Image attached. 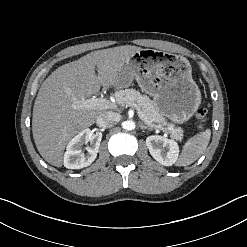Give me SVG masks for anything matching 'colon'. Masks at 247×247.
I'll use <instances>...</instances> for the list:
<instances>
[{"label":"colon","mask_w":247,"mask_h":247,"mask_svg":"<svg viewBox=\"0 0 247 247\" xmlns=\"http://www.w3.org/2000/svg\"><path fill=\"white\" fill-rule=\"evenodd\" d=\"M195 115H196V118H197L198 120L203 119V118L205 117V115H206V110H205V108H203V107L198 108V109L196 110ZM199 127H201V125H199Z\"/></svg>","instance_id":"colon-1"}]
</instances>
